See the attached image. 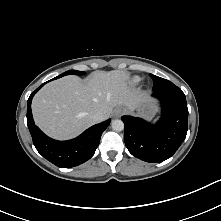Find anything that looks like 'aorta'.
<instances>
[{
	"instance_id": "1",
	"label": "aorta",
	"mask_w": 221,
	"mask_h": 221,
	"mask_svg": "<svg viewBox=\"0 0 221 221\" xmlns=\"http://www.w3.org/2000/svg\"><path fill=\"white\" fill-rule=\"evenodd\" d=\"M112 129L114 131L120 132L124 129V123L120 119L113 120L111 123Z\"/></svg>"
}]
</instances>
